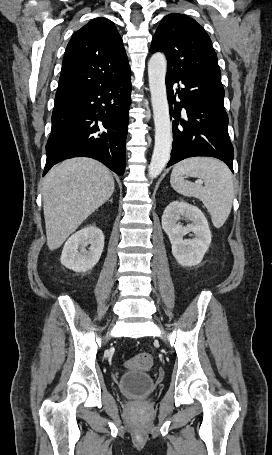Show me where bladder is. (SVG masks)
<instances>
[{"label":"bladder","instance_id":"obj_1","mask_svg":"<svg viewBox=\"0 0 272 455\" xmlns=\"http://www.w3.org/2000/svg\"><path fill=\"white\" fill-rule=\"evenodd\" d=\"M119 392L127 398H141L150 395L155 389L153 378L145 372L127 371L118 380Z\"/></svg>","mask_w":272,"mask_h":455}]
</instances>
